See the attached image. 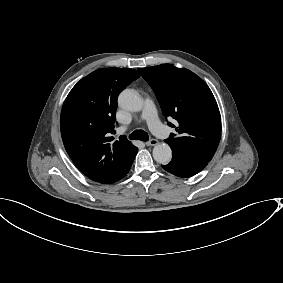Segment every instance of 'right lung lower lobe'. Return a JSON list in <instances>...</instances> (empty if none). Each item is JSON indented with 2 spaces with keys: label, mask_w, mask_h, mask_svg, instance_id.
<instances>
[{
  "label": "right lung lower lobe",
  "mask_w": 283,
  "mask_h": 283,
  "mask_svg": "<svg viewBox=\"0 0 283 283\" xmlns=\"http://www.w3.org/2000/svg\"><path fill=\"white\" fill-rule=\"evenodd\" d=\"M129 170H130V169H129ZM129 170H128L120 179H122V178L129 172ZM120 179H119V180H120Z\"/></svg>",
  "instance_id": "right-lung-lower-lobe-1"
}]
</instances>
